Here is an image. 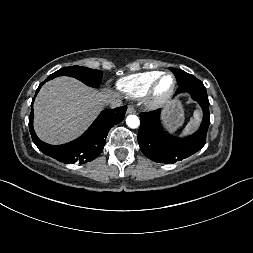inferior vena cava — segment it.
<instances>
[{
    "label": "inferior vena cava",
    "mask_w": 253,
    "mask_h": 253,
    "mask_svg": "<svg viewBox=\"0 0 253 253\" xmlns=\"http://www.w3.org/2000/svg\"><path fill=\"white\" fill-rule=\"evenodd\" d=\"M110 108L120 107L122 105V101L118 98H111L107 101Z\"/></svg>",
    "instance_id": "inferior-vena-cava-1"
}]
</instances>
